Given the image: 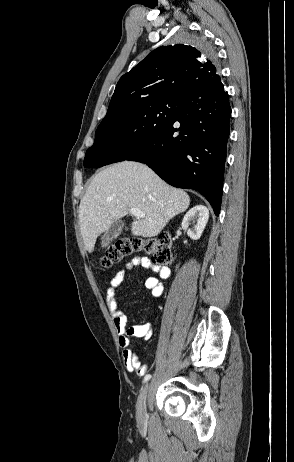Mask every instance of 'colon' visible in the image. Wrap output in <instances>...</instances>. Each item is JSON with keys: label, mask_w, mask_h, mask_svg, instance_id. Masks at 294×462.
<instances>
[{"label": "colon", "mask_w": 294, "mask_h": 462, "mask_svg": "<svg viewBox=\"0 0 294 462\" xmlns=\"http://www.w3.org/2000/svg\"><path fill=\"white\" fill-rule=\"evenodd\" d=\"M133 252L146 253L157 265L166 266L173 261L170 235L159 234L150 238H120L105 250L100 263L104 268H109Z\"/></svg>", "instance_id": "obj_1"}]
</instances>
